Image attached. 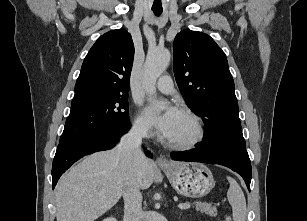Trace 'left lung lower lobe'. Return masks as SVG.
Here are the masks:
<instances>
[{
    "instance_id": "1",
    "label": "left lung lower lobe",
    "mask_w": 307,
    "mask_h": 221,
    "mask_svg": "<svg viewBox=\"0 0 307 221\" xmlns=\"http://www.w3.org/2000/svg\"><path fill=\"white\" fill-rule=\"evenodd\" d=\"M171 158L177 161L203 162L226 166L240 174L248 190L251 182V163L246 148L224 140L203 141L192 150L172 152Z\"/></svg>"
}]
</instances>
